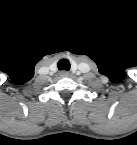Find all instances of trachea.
<instances>
[{
	"instance_id": "3493384b",
	"label": "trachea",
	"mask_w": 137,
	"mask_h": 145,
	"mask_svg": "<svg viewBox=\"0 0 137 145\" xmlns=\"http://www.w3.org/2000/svg\"><path fill=\"white\" fill-rule=\"evenodd\" d=\"M57 67L59 70H65L68 71L71 67L69 61L67 59H61L58 64Z\"/></svg>"
}]
</instances>
